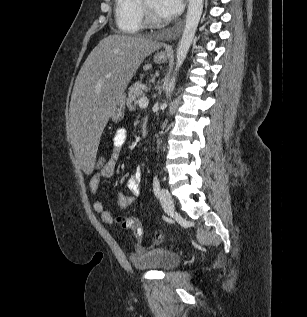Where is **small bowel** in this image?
Listing matches in <instances>:
<instances>
[{
    "instance_id": "c3829d8e",
    "label": "small bowel",
    "mask_w": 307,
    "mask_h": 317,
    "mask_svg": "<svg viewBox=\"0 0 307 317\" xmlns=\"http://www.w3.org/2000/svg\"><path fill=\"white\" fill-rule=\"evenodd\" d=\"M127 141V131L124 128L118 129L113 137V149L114 152L111 158L107 161L105 166L96 171L90 179L89 189L90 192L95 195L97 194L100 180L102 178H111L116 169V163L119 157L121 150L124 148ZM141 181H142V169L141 167H136L132 175L128 178L126 182V187L129 193L120 192L117 197L118 204L122 208L130 207L136 200V198L141 194ZM95 212L100 214L102 220L106 223H113V215L106 210L104 204L96 200L93 204Z\"/></svg>"
}]
</instances>
